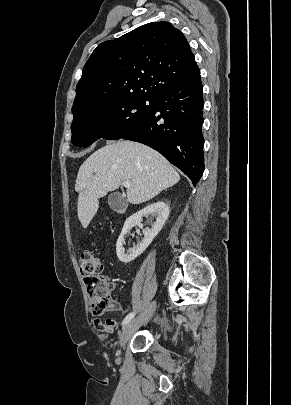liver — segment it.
Instances as JSON below:
<instances>
[{"label": "liver", "instance_id": "liver-1", "mask_svg": "<svg viewBox=\"0 0 291 405\" xmlns=\"http://www.w3.org/2000/svg\"><path fill=\"white\" fill-rule=\"evenodd\" d=\"M129 180L127 200L146 202L175 185L180 176L157 151L132 141L109 143L91 154L80 166L75 190L77 214L86 228L99 208V199Z\"/></svg>", "mask_w": 291, "mask_h": 405}]
</instances>
